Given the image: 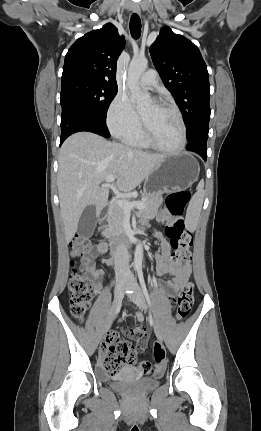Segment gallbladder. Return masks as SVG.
I'll return each instance as SVG.
<instances>
[{
  "label": "gallbladder",
  "mask_w": 261,
  "mask_h": 431,
  "mask_svg": "<svg viewBox=\"0 0 261 431\" xmlns=\"http://www.w3.org/2000/svg\"><path fill=\"white\" fill-rule=\"evenodd\" d=\"M97 224V214L95 206H88L82 213L79 222L77 233L81 237H90Z\"/></svg>",
  "instance_id": "1"
}]
</instances>
